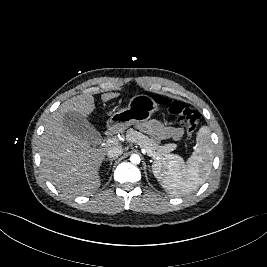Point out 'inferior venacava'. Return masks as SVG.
I'll return each mask as SVG.
<instances>
[{
    "mask_svg": "<svg viewBox=\"0 0 267 267\" xmlns=\"http://www.w3.org/2000/svg\"><path fill=\"white\" fill-rule=\"evenodd\" d=\"M123 153V149L120 146H113L108 149L107 156L110 159H116Z\"/></svg>",
    "mask_w": 267,
    "mask_h": 267,
    "instance_id": "obj_1",
    "label": "inferior vena cava"
}]
</instances>
